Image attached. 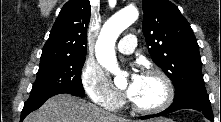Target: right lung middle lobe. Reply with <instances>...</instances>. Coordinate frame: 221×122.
Listing matches in <instances>:
<instances>
[{"instance_id":"right-lung-middle-lobe-1","label":"right lung middle lobe","mask_w":221,"mask_h":122,"mask_svg":"<svg viewBox=\"0 0 221 122\" xmlns=\"http://www.w3.org/2000/svg\"><path fill=\"white\" fill-rule=\"evenodd\" d=\"M84 62L85 58L41 60L30 96L58 89H70L85 93L81 81V70Z\"/></svg>"}]
</instances>
